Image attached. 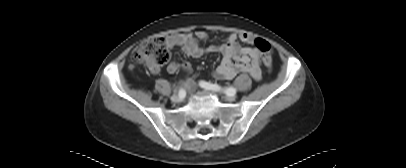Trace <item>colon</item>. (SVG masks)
<instances>
[{
    "mask_svg": "<svg viewBox=\"0 0 406 168\" xmlns=\"http://www.w3.org/2000/svg\"><path fill=\"white\" fill-rule=\"evenodd\" d=\"M258 51L260 52L263 64L268 71L273 68L271 59V47L269 43L263 39L257 38L254 40ZM131 58L135 62L144 63L148 66L164 65L170 58V53L164 37L155 36L143 41L139 46L134 48Z\"/></svg>",
    "mask_w": 406,
    "mask_h": 168,
    "instance_id": "1",
    "label": "colon"
}]
</instances>
